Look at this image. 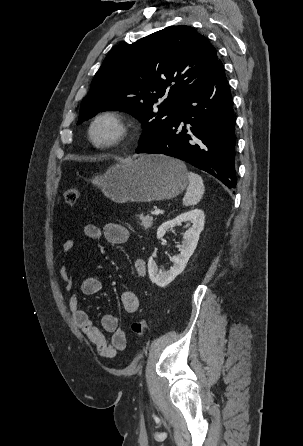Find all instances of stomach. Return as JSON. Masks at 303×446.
Wrapping results in <instances>:
<instances>
[{"instance_id":"stomach-1","label":"stomach","mask_w":303,"mask_h":446,"mask_svg":"<svg viewBox=\"0 0 303 446\" xmlns=\"http://www.w3.org/2000/svg\"><path fill=\"white\" fill-rule=\"evenodd\" d=\"M185 164L165 155H142L126 164H117L93 183L116 203L171 199L188 185Z\"/></svg>"}]
</instances>
